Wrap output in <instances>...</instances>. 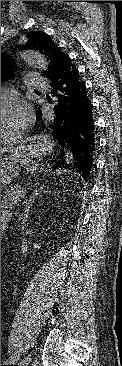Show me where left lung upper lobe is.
<instances>
[{
  "instance_id": "left-lung-upper-lobe-1",
  "label": "left lung upper lobe",
  "mask_w": 122,
  "mask_h": 366,
  "mask_svg": "<svg viewBox=\"0 0 122 366\" xmlns=\"http://www.w3.org/2000/svg\"><path fill=\"white\" fill-rule=\"evenodd\" d=\"M28 42L20 49H34L44 54L50 61L48 71L44 72L47 76L56 69L66 54L55 45L52 39L45 32L31 31L27 34ZM11 60L8 56L1 54V81L7 79L11 75Z\"/></svg>"
}]
</instances>
